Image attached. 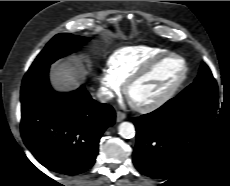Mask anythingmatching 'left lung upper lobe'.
Listing matches in <instances>:
<instances>
[{
	"label": "left lung upper lobe",
	"mask_w": 230,
	"mask_h": 186,
	"mask_svg": "<svg viewBox=\"0 0 230 186\" xmlns=\"http://www.w3.org/2000/svg\"><path fill=\"white\" fill-rule=\"evenodd\" d=\"M207 91H218V88L210 69L205 63H202L194 83L184 89L178 96H188Z\"/></svg>",
	"instance_id": "5c2ea615"
}]
</instances>
